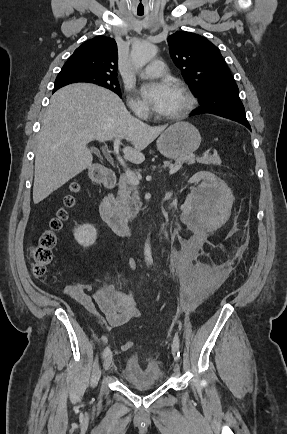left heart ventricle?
<instances>
[{
  "mask_svg": "<svg viewBox=\"0 0 287 434\" xmlns=\"http://www.w3.org/2000/svg\"><path fill=\"white\" fill-rule=\"evenodd\" d=\"M185 105V99L180 91L175 87V92L173 98L168 106V108L162 113L164 115H170L178 113Z\"/></svg>",
  "mask_w": 287,
  "mask_h": 434,
  "instance_id": "obj_1",
  "label": "left heart ventricle"
}]
</instances>
